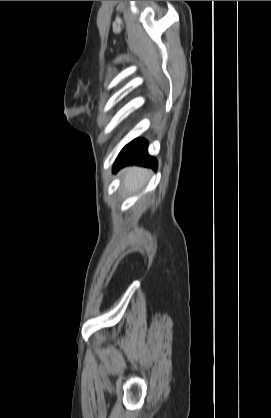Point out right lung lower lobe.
Instances as JSON below:
<instances>
[{"label":"right lung lower lobe","mask_w":271,"mask_h":418,"mask_svg":"<svg viewBox=\"0 0 271 418\" xmlns=\"http://www.w3.org/2000/svg\"><path fill=\"white\" fill-rule=\"evenodd\" d=\"M148 143L144 139H135L127 144L118 155L113 171L116 172L126 165H141L157 169V160L151 157L147 151Z\"/></svg>","instance_id":"98d812e1"}]
</instances>
